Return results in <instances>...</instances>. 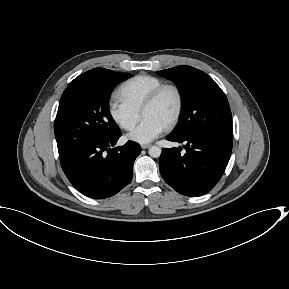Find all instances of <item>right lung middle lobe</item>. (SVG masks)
Listing matches in <instances>:
<instances>
[{
	"label": "right lung middle lobe",
	"instance_id": "dd1d6c3e",
	"mask_svg": "<svg viewBox=\"0 0 289 289\" xmlns=\"http://www.w3.org/2000/svg\"><path fill=\"white\" fill-rule=\"evenodd\" d=\"M131 74L113 72L99 81L71 82L63 92L54 132L60 157L118 133L108 108L112 88Z\"/></svg>",
	"mask_w": 289,
	"mask_h": 289
}]
</instances>
